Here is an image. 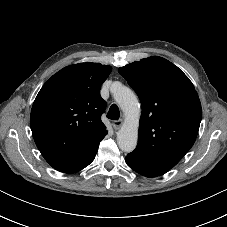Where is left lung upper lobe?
Wrapping results in <instances>:
<instances>
[{"label":"left lung upper lobe","instance_id":"5c2ea615","mask_svg":"<svg viewBox=\"0 0 227 227\" xmlns=\"http://www.w3.org/2000/svg\"><path fill=\"white\" fill-rule=\"evenodd\" d=\"M118 72L142 104L138 144L128 155L156 168H173L193 146L201 122V104L192 82L158 56L125 65Z\"/></svg>","mask_w":227,"mask_h":227}]
</instances>
